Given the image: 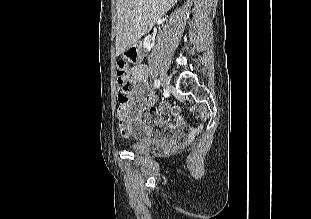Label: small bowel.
Instances as JSON below:
<instances>
[{"mask_svg":"<svg viewBox=\"0 0 311 219\" xmlns=\"http://www.w3.org/2000/svg\"><path fill=\"white\" fill-rule=\"evenodd\" d=\"M133 72L134 80L137 83L136 88L131 95L130 102L120 105L116 112L119 130L123 136H132L139 140L161 136L164 131L161 128L162 122L159 115L173 110V107L164 101L157 109L155 107L157 97L146 82L147 69L143 66H136ZM174 121L179 128L183 129V134L167 132L171 136L170 141L185 142L189 140L195 133V129L186 126L181 117L176 116Z\"/></svg>","mask_w":311,"mask_h":219,"instance_id":"small-bowel-1","label":"small bowel"}]
</instances>
